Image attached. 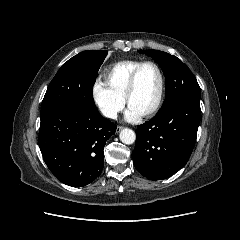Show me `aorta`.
<instances>
[{"label":"aorta","instance_id":"aorta-1","mask_svg":"<svg viewBox=\"0 0 240 240\" xmlns=\"http://www.w3.org/2000/svg\"><path fill=\"white\" fill-rule=\"evenodd\" d=\"M119 138L122 143H124L126 145H130L135 142L136 135L133 130H131L129 128H124L121 130V132L119 134Z\"/></svg>","mask_w":240,"mask_h":240}]
</instances>
